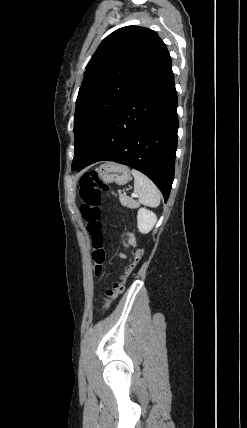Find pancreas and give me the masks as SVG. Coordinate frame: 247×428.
<instances>
[{"instance_id":"cf45deb5","label":"pancreas","mask_w":247,"mask_h":428,"mask_svg":"<svg viewBox=\"0 0 247 428\" xmlns=\"http://www.w3.org/2000/svg\"><path fill=\"white\" fill-rule=\"evenodd\" d=\"M119 200L123 206H126L131 209L137 208L139 206V203L137 201L124 194L119 195Z\"/></svg>"}]
</instances>
